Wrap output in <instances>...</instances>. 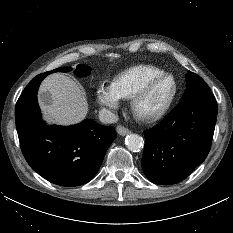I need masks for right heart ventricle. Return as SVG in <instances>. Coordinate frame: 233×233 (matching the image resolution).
Returning <instances> with one entry per match:
<instances>
[{"mask_svg": "<svg viewBox=\"0 0 233 233\" xmlns=\"http://www.w3.org/2000/svg\"><path fill=\"white\" fill-rule=\"evenodd\" d=\"M164 74V71L153 65H137L120 73L113 81L118 95L130 99L149 80Z\"/></svg>", "mask_w": 233, "mask_h": 233, "instance_id": "e07e8e85", "label": "right heart ventricle"}]
</instances>
